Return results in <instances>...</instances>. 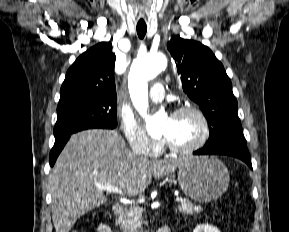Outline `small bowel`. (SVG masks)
<instances>
[{
  "label": "small bowel",
  "mask_w": 289,
  "mask_h": 232,
  "mask_svg": "<svg viewBox=\"0 0 289 232\" xmlns=\"http://www.w3.org/2000/svg\"><path fill=\"white\" fill-rule=\"evenodd\" d=\"M97 232H112V230L105 224H99L97 227Z\"/></svg>",
  "instance_id": "obj_1"
}]
</instances>
